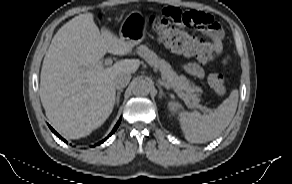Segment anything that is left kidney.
<instances>
[{
	"label": "left kidney",
	"mask_w": 292,
	"mask_h": 184,
	"mask_svg": "<svg viewBox=\"0 0 292 184\" xmlns=\"http://www.w3.org/2000/svg\"><path fill=\"white\" fill-rule=\"evenodd\" d=\"M181 108V104L175 101H171L168 103V109L171 113H175Z\"/></svg>",
	"instance_id": "5707ae66"
}]
</instances>
